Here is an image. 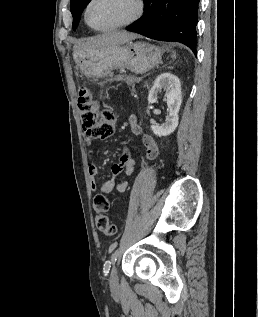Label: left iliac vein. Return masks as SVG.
<instances>
[{"label":"left iliac vein","instance_id":"left-iliac-vein-1","mask_svg":"<svg viewBox=\"0 0 258 317\" xmlns=\"http://www.w3.org/2000/svg\"><path fill=\"white\" fill-rule=\"evenodd\" d=\"M116 267H117V266L115 265L114 268H113L114 271H112V273H111V275H110V276L113 277V278H116V277H117V274H118L117 271H115Z\"/></svg>","mask_w":258,"mask_h":317}]
</instances>
